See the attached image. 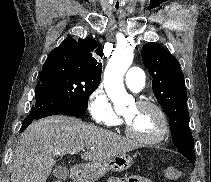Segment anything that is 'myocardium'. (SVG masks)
Listing matches in <instances>:
<instances>
[{
    "label": "myocardium",
    "instance_id": "obj_1",
    "mask_svg": "<svg viewBox=\"0 0 211 182\" xmlns=\"http://www.w3.org/2000/svg\"><path fill=\"white\" fill-rule=\"evenodd\" d=\"M136 105L138 107L154 109L158 113V115L161 119L162 128H161L160 132L152 138H141L132 132L127 120L124 118V131H125L126 135L129 138H131L132 140H134L137 143L142 144V145H155V144L160 143L162 140H164L166 138V136L168 135L169 130H170V123H169L167 114L158 104L151 102V101L139 100V101H137Z\"/></svg>",
    "mask_w": 211,
    "mask_h": 182
}]
</instances>
